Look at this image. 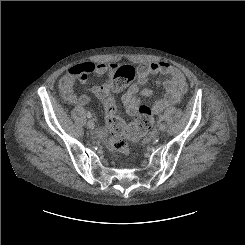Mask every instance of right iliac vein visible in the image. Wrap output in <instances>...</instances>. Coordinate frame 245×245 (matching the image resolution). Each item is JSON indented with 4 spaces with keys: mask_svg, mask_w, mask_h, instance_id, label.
<instances>
[{
    "mask_svg": "<svg viewBox=\"0 0 245 245\" xmlns=\"http://www.w3.org/2000/svg\"><path fill=\"white\" fill-rule=\"evenodd\" d=\"M87 126H88L90 129H94V128H95V124H94V122H93L92 120H89V121L87 122Z\"/></svg>",
    "mask_w": 245,
    "mask_h": 245,
    "instance_id": "right-iliac-vein-1",
    "label": "right iliac vein"
}]
</instances>
